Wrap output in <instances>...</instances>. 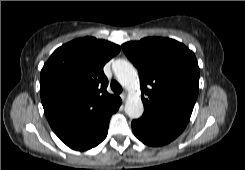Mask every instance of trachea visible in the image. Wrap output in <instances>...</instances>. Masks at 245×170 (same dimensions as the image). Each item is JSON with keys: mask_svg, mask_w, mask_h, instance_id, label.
Returning a JSON list of instances; mask_svg holds the SVG:
<instances>
[{"mask_svg": "<svg viewBox=\"0 0 245 170\" xmlns=\"http://www.w3.org/2000/svg\"><path fill=\"white\" fill-rule=\"evenodd\" d=\"M111 89L116 94H120L122 92V87L117 81L111 82Z\"/></svg>", "mask_w": 245, "mask_h": 170, "instance_id": "obj_1", "label": "trachea"}]
</instances>
